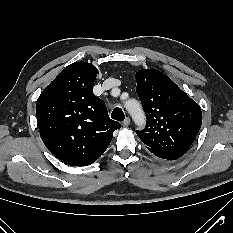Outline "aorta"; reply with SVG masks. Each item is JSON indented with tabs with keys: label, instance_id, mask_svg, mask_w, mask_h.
<instances>
[{
	"label": "aorta",
	"instance_id": "762f6f07",
	"mask_svg": "<svg viewBox=\"0 0 233 233\" xmlns=\"http://www.w3.org/2000/svg\"><path fill=\"white\" fill-rule=\"evenodd\" d=\"M128 112L131 114L133 120L137 125L141 126L144 124V115L141 110L140 104L136 100H131L126 104Z\"/></svg>",
	"mask_w": 233,
	"mask_h": 233
}]
</instances>
